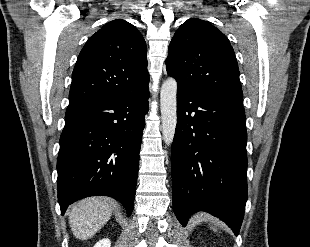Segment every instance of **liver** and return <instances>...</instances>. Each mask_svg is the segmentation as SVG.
<instances>
[{
	"instance_id": "1",
	"label": "liver",
	"mask_w": 310,
	"mask_h": 247,
	"mask_svg": "<svg viewBox=\"0 0 310 247\" xmlns=\"http://www.w3.org/2000/svg\"><path fill=\"white\" fill-rule=\"evenodd\" d=\"M115 203L110 198L90 197L77 202L70 210L69 224L80 240L93 237L110 219Z\"/></svg>"
}]
</instances>
